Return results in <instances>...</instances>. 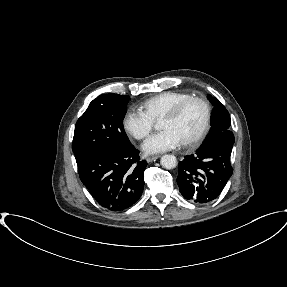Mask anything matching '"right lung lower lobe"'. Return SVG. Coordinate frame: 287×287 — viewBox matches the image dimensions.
<instances>
[{
    "label": "right lung lower lobe",
    "mask_w": 287,
    "mask_h": 287,
    "mask_svg": "<svg viewBox=\"0 0 287 287\" xmlns=\"http://www.w3.org/2000/svg\"><path fill=\"white\" fill-rule=\"evenodd\" d=\"M139 159L134 146L95 149L77 162L79 177L99 205L122 211L135 204L143 192L147 162Z\"/></svg>",
    "instance_id": "98d812e1"
}]
</instances>
